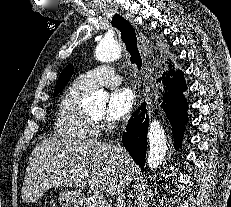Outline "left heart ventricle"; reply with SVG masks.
Segmentation results:
<instances>
[{
    "instance_id": "1",
    "label": "left heart ventricle",
    "mask_w": 231,
    "mask_h": 207,
    "mask_svg": "<svg viewBox=\"0 0 231 207\" xmlns=\"http://www.w3.org/2000/svg\"><path fill=\"white\" fill-rule=\"evenodd\" d=\"M102 116V113L94 115L95 118H100Z\"/></svg>"
}]
</instances>
